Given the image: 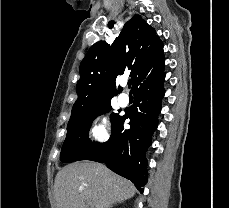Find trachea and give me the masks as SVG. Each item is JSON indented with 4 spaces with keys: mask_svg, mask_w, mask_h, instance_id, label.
<instances>
[{
    "mask_svg": "<svg viewBox=\"0 0 229 208\" xmlns=\"http://www.w3.org/2000/svg\"><path fill=\"white\" fill-rule=\"evenodd\" d=\"M131 87V80L128 81V88Z\"/></svg>",
    "mask_w": 229,
    "mask_h": 208,
    "instance_id": "3493384b",
    "label": "trachea"
}]
</instances>
